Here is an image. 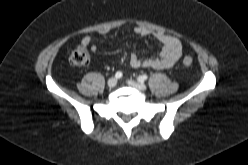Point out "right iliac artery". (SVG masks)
<instances>
[{"label":"right iliac artery","instance_id":"1","mask_svg":"<svg viewBox=\"0 0 248 165\" xmlns=\"http://www.w3.org/2000/svg\"><path fill=\"white\" fill-rule=\"evenodd\" d=\"M115 77L117 79H120L122 77V72H120V71L116 72Z\"/></svg>","mask_w":248,"mask_h":165}]
</instances>
